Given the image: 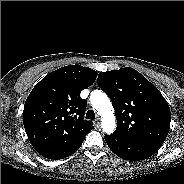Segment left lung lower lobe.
I'll use <instances>...</instances> for the list:
<instances>
[{
    "label": "left lung lower lobe",
    "mask_w": 184,
    "mask_h": 184,
    "mask_svg": "<svg viewBox=\"0 0 184 184\" xmlns=\"http://www.w3.org/2000/svg\"><path fill=\"white\" fill-rule=\"evenodd\" d=\"M110 150L122 159L139 161L147 159L155 152L115 133L105 136Z\"/></svg>",
    "instance_id": "obj_1"
}]
</instances>
